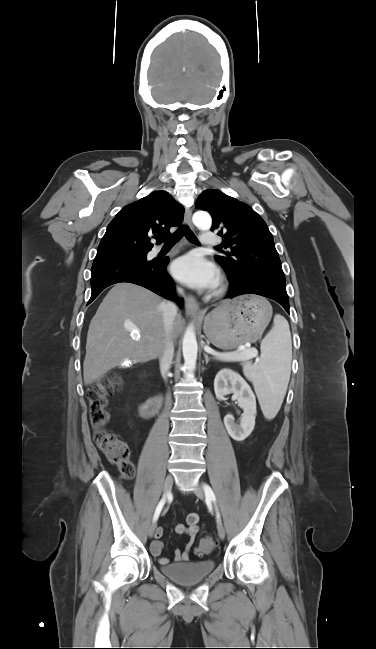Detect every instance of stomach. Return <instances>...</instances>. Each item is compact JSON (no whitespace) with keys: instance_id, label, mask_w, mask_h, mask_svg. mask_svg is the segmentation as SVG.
<instances>
[{"instance_id":"1","label":"stomach","mask_w":376,"mask_h":649,"mask_svg":"<svg viewBox=\"0 0 376 649\" xmlns=\"http://www.w3.org/2000/svg\"><path fill=\"white\" fill-rule=\"evenodd\" d=\"M272 316L270 303L257 296H240L223 302L204 320V333L214 346L230 350L256 341Z\"/></svg>"}]
</instances>
